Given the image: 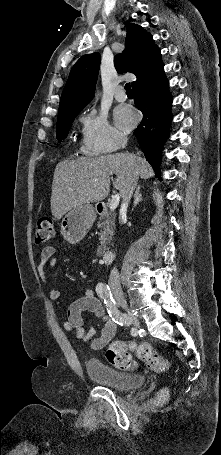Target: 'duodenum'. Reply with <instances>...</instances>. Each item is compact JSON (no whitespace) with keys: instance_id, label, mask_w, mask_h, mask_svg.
Returning a JSON list of instances; mask_svg holds the SVG:
<instances>
[{"instance_id":"1","label":"duodenum","mask_w":221,"mask_h":455,"mask_svg":"<svg viewBox=\"0 0 221 455\" xmlns=\"http://www.w3.org/2000/svg\"><path fill=\"white\" fill-rule=\"evenodd\" d=\"M106 211H107L106 207H102V206L98 207V212L100 214H105ZM102 259L104 262H107V263L111 262L113 259V251L111 249H107V250L103 251Z\"/></svg>"}]
</instances>
